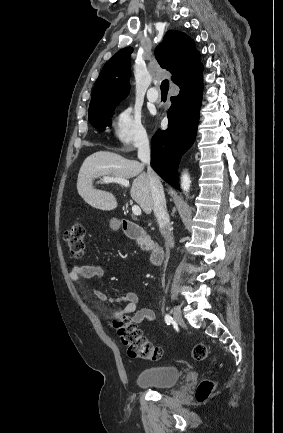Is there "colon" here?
Returning <instances> with one entry per match:
<instances>
[{"mask_svg":"<svg viewBox=\"0 0 283 433\" xmlns=\"http://www.w3.org/2000/svg\"><path fill=\"white\" fill-rule=\"evenodd\" d=\"M64 242L74 258L79 259L84 255L85 228L82 222L74 221L70 225L65 232ZM113 326L131 358L156 360L160 357L161 349L143 335L141 329L132 321L131 317L122 316L114 321ZM192 354L197 361L209 359V351L204 344L195 345ZM214 389V382L210 380L202 381L196 389L197 401L203 402L207 400Z\"/></svg>","mask_w":283,"mask_h":433,"instance_id":"obj_1","label":"colon"}]
</instances>
